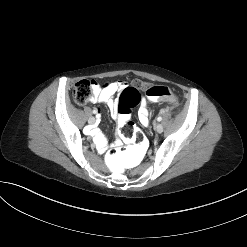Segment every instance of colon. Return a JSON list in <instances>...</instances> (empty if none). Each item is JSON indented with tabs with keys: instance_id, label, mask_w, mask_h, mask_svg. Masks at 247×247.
<instances>
[{
	"instance_id": "1",
	"label": "colon",
	"mask_w": 247,
	"mask_h": 247,
	"mask_svg": "<svg viewBox=\"0 0 247 247\" xmlns=\"http://www.w3.org/2000/svg\"><path fill=\"white\" fill-rule=\"evenodd\" d=\"M140 89L146 90V95L151 101H173L171 90L162 85L148 86L135 80L130 87H126L120 94L117 104V112L120 116L118 133L126 141L125 149L112 148L105 152L103 160L107 167L116 172H123L141 163L146 156L149 145L147 137L138 130L129 120L131 110L140 101ZM93 82L81 80L73 89V98L78 104H85L92 96Z\"/></svg>"
}]
</instances>
